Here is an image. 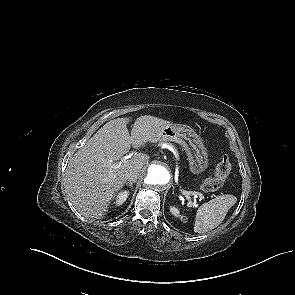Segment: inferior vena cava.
Here are the masks:
<instances>
[{"label": "inferior vena cava", "instance_id": "602c4592", "mask_svg": "<svg viewBox=\"0 0 295 295\" xmlns=\"http://www.w3.org/2000/svg\"><path fill=\"white\" fill-rule=\"evenodd\" d=\"M139 175V171L136 169H130L129 171L126 172V180L133 182L137 180V177Z\"/></svg>", "mask_w": 295, "mask_h": 295}]
</instances>
